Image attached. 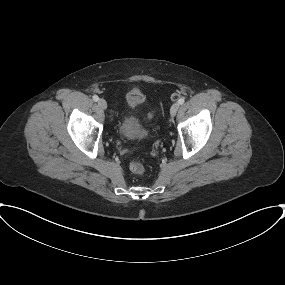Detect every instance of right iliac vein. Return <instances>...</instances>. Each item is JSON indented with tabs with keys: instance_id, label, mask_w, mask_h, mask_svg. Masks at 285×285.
<instances>
[{
	"instance_id": "63e3f726",
	"label": "right iliac vein",
	"mask_w": 285,
	"mask_h": 285,
	"mask_svg": "<svg viewBox=\"0 0 285 285\" xmlns=\"http://www.w3.org/2000/svg\"><path fill=\"white\" fill-rule=\"evenodd\" d=\"M98 106L100 109L105 110L107 108V102L104 99H99Z\"/></svg>"
}]
</instances>
